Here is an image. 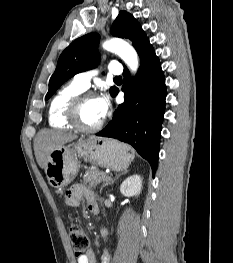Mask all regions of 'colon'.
Masks as SVG:
<instances>
[{
	"label": "colon",
	"mask_w": 233,
	"mask_h": 263,
	"mask_svg": "<svg viewBox=\"0 0 233 263\" xmlns=\"http://www.w3.org/2000/svg\"><path fill=\"white\" fill-rule=\"evenodd\" d=\"M69 236L76 257L83 256L89 247V238L83 228L72 225L69 228Z\"/></svg>",
	"instance_id": "1"
}]
</instances>
